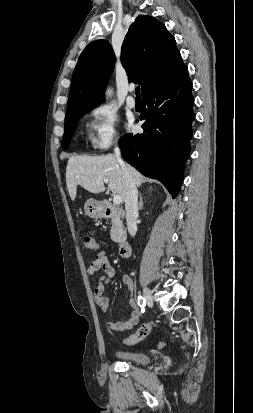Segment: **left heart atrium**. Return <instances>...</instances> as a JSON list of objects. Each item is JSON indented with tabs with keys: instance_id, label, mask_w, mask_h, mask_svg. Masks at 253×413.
<instances>
[{
	"instance_id": "1",
	"label": "left heart atrium",
	"mask_w": 253,
	"mask_h": 413,
	"mask_svg": "<svg viewBox=\"0 0 253 413\" xmlns=\"http://www.w3.org/2000/svg\"><path fill=\"white\" fill-rule=\"evenodd\" d=\"M132 126V124L131 123H129V127H131Z\"/></svg>"
}]
</instances>
